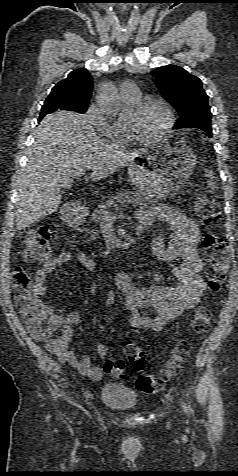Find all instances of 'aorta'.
Here are the masks:
<instances>
[{
    "instance_id": "obj_1",
    "label": "aorta",
    "mask_w": 238,
    "mask_h": 476,
    "mask_svg": "<svg viewBox=\"0 0 238 476\" xmlns=\"http://www.w3.org/2000/svg\"><path fill=\"white\" fill-rule=\"evenodd\" d=\"M98 103L102 111L110 118H116L124 111L117 89L111 83L104 85V89L99 95Z\"/></svg>"
}]
</instances>
